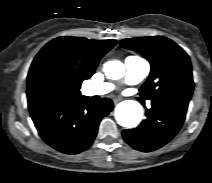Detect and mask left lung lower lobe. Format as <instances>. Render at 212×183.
I'll return each mask as SVG.
<instances>
[{
    "label": "left lung lower lobe",
    "instance_id": "obj_1",
    "mask_svg": "<svg viewBox=\"0 0 212 183\" xmlns=\"http://www.w3.org/2000/svg\"><path fill=\"white\" fill-rule=\"evenodd\" d=\"M151 102V109H146L147 118L137 128L122 132L130 146L143 152L154 151L168 143L183 125L188 108L186 102Z\"/></svg>",
    "mask_w": 212,
    "mask_h": 183
}]
</instances>
